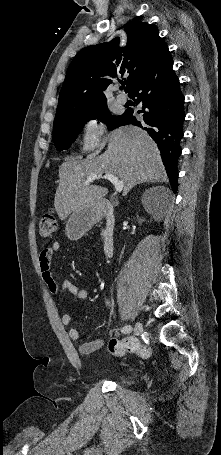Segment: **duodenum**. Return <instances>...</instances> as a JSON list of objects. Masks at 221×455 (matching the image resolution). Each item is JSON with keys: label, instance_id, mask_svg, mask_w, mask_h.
<instances>
[{"label": "duodenum", "instance_id": "410a0bca", "mask_svg": "<svg viewBox=\"0 0 221 455\" xmlns=\"http://www.w3.org/2000/svg\"><path fill=\"white\" fill-rule=\"evenodd\" d=\"M98 217L104 218L106 227L104 231L103 252L106 257H111L114 253V237L113 231L115 226V217L112 205L108 201L100 203L98 208Z\"/></svg>", "mask_w": 221, "mask_h": 455}]
</instances>
